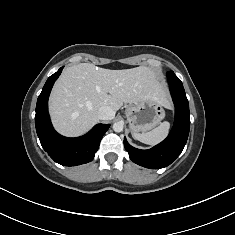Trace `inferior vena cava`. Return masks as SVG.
<instances>
[{
  "label": "inferior vena cava",
  "mask_w": 235,
  "mask_h": 235,
  "mask_svg": "<svg viewBox=\"0 0 235 235\" xmlns=\"http://www.w3.org/2000/svg\"><path fill=\"white\" fill-rule=\"evenodd\" d=\"M115 116L114 110L109 106H102L98 110V118L100 120H111Z\"/></svg>",
  "instance_id": "602c4592"
}]
</instances>
